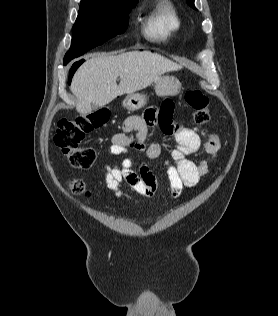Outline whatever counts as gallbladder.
<instances>
[{"mask_svg":"<svg viewBox=\"0 0 278 316\" xmlns=\"http://www.w3.org/2000/svg\"><path fill=\"white\" fill-rule=\"evenodd\" d=\"M92 108H93V110H94V109H96V107H95V106H92Z\"/></svg>","mask_w":278,"mask_h":316,"instance_id":"1","label":"gallbladder"}]
</instances>
